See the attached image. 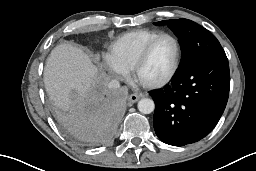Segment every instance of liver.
Returning <instances> with one entry per match:
<instances>
[{"mask_svg": "<svg viewBox=\"0 0 256 171\" xmlns=\"http://www.w3.org/2000/svg\"><path fill=\"white\" fill-rule=\"evenodd\" d=\"M100 83L98 69L80 48L61 44L50 53L44 68V84L50 99L61 109L68 110L84 99L95 95L94 87ZM77 100H72V92Z\"/></svg>", "mask_w": 256, "mask_h": 171, "instance_id": "6515ba94", "label": "liver"}]
</instances>
